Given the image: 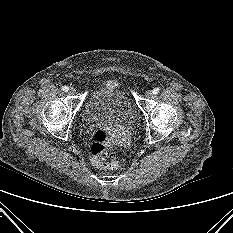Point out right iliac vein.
I'll return each mask as SVG.
<instances>
[{
	"mask_svg": "<svg viewBox=\"0 0 233 233\" xmlns=\"http://www.w3.org/2000/svg\"><path fill=\"white\" fill-rule=\"evenodd\" d=\"M68 91L71 95L75 94V89L73 87H70Z\"/></svg>",
	"mask_w": 233,
	"mask_h": 233,
	"instance_id": "right-iliac-vein-1",
	"label": "right iliac vein"
}]
</instances>
